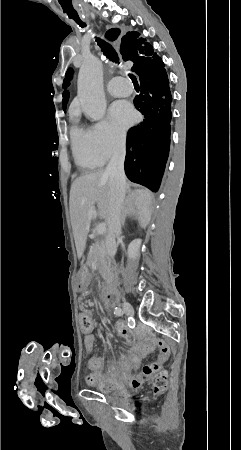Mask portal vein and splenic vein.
Returning a JSON list of instances; mask_svg holds the SVG:
<instances>
[{
    "label": "portal vein and splenic vein",
    "mask_w": 241,
    "mask_h": 450,
    "mask_svg": "<svg viewBox=\"0 0 241 450\" xmlns=\"http://www.w3.org/2000/svg\"><path fill=\"white\" fill-rule=\"evenodd\" d=\"M96 232L97 234H104V232H106V224H98V226H96Z\"/></svg>",
    "instance_id": "portal-vein-and-splenic-vein-1"
}]
</instances>
